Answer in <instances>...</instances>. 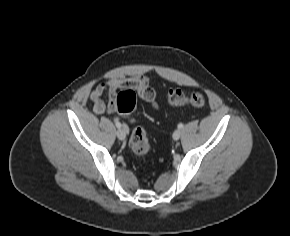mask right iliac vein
<instances>
[{"instance_id":"1","label":"right iliac vein","mask_w":290,"mask_h":236,"mask_svg":"<svg viewBox=\"0 0 290 236\" xmlns=\"http://www.w3.org/2000/svg\"><path fill=\"white\" fill-rule=\"evenodd\" d=\"M127 131H128L127 126L123 125L121 128L117 130L116 135L120 140H124L126 138Z\"/></svg>"}]
</instances>
